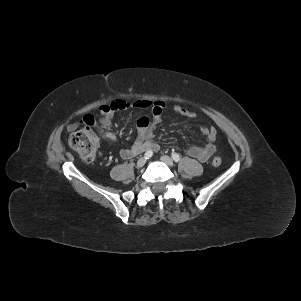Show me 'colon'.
Instances as JSON below:
<instances>
[{
	"instance_id": "obj_1",
	"label": "colon",
	"mask_w": 301,
	"mask_h": 301,
	"mask_svg": "<svg viewBox=\"0 0 301 301\" xmlns=\"http://www.w3.org/2000/svg\"><path fill=\"white\" fill-rule=\"evenodd\" d=\"M69 145L84 161L90 162L95 159L98 138L90 128L85 127L70 135ZM221 163L220 157H214L212 160L215 167L220 166Z\"/></svg>"
}]
</instances>
